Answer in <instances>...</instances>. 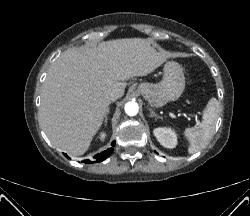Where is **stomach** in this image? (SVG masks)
I'll return each instance as SVG.
<instances>
[{
    "instance_id": "obj_1",
    "label": "stomach",
    "mask_w": 250,
    "mask_h": 216,
    "mask_svg": "<svg viewBox=\"0 0 250 216\" xmlns=\"http://www.w3.org/2000/svg\"><path fill=\"white\" fill-rule=\"evenodd\" d=\"M185 89L183 68L174 61L164 65L163 78L159 83L142 82L137 91L152 107H162L170 101L177 100Z\"/></svg>"
}]
</instances>
